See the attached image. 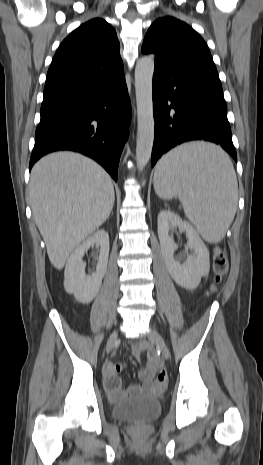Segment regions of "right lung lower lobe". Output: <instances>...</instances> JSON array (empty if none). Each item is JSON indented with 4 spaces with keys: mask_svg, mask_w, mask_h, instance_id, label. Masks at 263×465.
Wrapping results in <instances>:
<instances>
[{
    "mask_svg": "<svg viewBox=\"0 0 263 465\" xmlns=\"http://www.w3.org/2000/svg\"><path fill=\"white\" fill-rule=\"evenodd\" d=\"M130 110L124 74L44 95L29 169L48 153L72 150L93 158L117 181Z\"/></svg>",
    "mask_w": 263,
    "mask_h": 465,
    "instance_id": "right-lung-lower-lobe-1",
    "label": "right lung lower lobe"
}]
</instances>
